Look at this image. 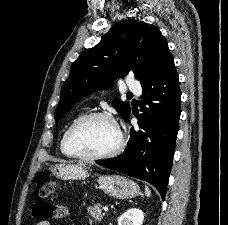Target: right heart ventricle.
I'll use <instances>...</instances> for the list:
<instances>
[{
  "instance_id": "obj_1",
  "label": "right heart ventricle",
  "mask_w": 228,
  "mask_h": 225,
  "mask_svg": "<svg viewBox=\"0 0 228 225\" xmlns=\"http://www.w3.org/2000/svg\"><path fill=\"white\" fill-rule=\"evenodd\" d=\"M80 116H82V114L77 115V116L72 120V122L66 127V129L64 130V132H63V134H62V136H61V140H60V150H61V152H62L65 156L70 157V155L67 153L66 148H65V136H66L67 130H68L69 127L74 123V121H75L76 119H78Z\"/></svg>"
}]
</instances>
